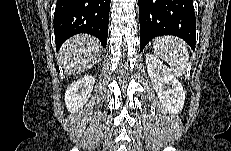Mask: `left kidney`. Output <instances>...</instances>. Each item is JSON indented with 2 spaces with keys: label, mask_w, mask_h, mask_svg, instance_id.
<instances>
[{
  "label": "left kidney",
  "mask_w": 231,
  "mask_h": 151,
  "mask_svg": "<svg viewBox=\"0 0 231 151\" xmlns=\"http://www.w3.org/2000/svg\"><path fill=\"white\" fill-rule=\"evenodd\" d=\"M147 72L163 108L178 114L183 109L185 92L171 70L152 54H146Z\"/></svg>",
  "instance_id": "1"
}]
</instances>
